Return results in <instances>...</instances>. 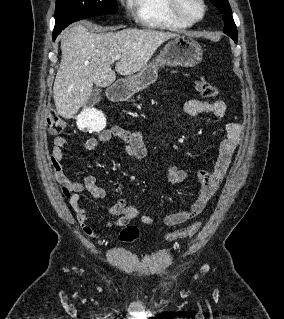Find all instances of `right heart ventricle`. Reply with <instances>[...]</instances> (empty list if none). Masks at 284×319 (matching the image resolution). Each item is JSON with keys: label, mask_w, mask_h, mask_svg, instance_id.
<instances>
[{"label": "right heart ventricle", "mask_w": 284, "mask_h": 319, "mask_svg": "<svg viewBox=\"0 0 284 319\" xmlns=\"http://www.w3.org/2000/svg\"><path fill=\"white\" fill-rule=\"evenodd\" d=\"M132 6L137 22L143 27L177 30L190 26L172 13L169 0H133Z\"/></svg>", "instance_id": "1"}]
</instances>
